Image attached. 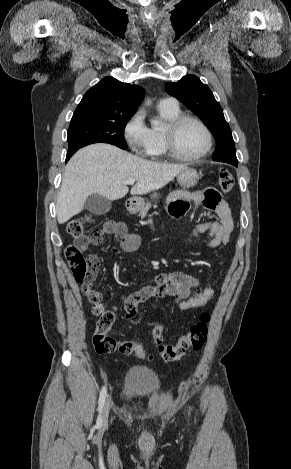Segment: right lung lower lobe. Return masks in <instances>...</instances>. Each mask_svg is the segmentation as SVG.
<instances>
[{"instance_id":"obj_1","label":"right lung lower lobe","mask_w":291,"mask_h":469,"mask_svg":"<svg viewBox=\"0 0 291 469\" xmlns=\"http://www.w3.org/2000/svg\"><path fill=\"white\" fill-rule=\"evenodd\" d=\"M78 149H79V148L71 149V150H68V151H67L66 162L70 159V157H71Z\"/></svg>"}]
</instances>
